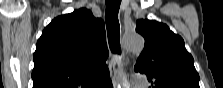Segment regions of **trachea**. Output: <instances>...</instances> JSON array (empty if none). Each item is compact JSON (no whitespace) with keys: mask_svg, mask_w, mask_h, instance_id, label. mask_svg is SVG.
I'll return each instance as SVG.
<instances>
[{"mask_svg":"<svg viewBox=\"0 0 223 88\" xmlns=\"http://www.w3.org/2000/svg\"><path fill=\"white\" fill-rule=\"evenodd\" d=\"M121 0H106V27L108 43L112 53L121 54L120 49V25L118 11Z\"/></svg>","mask_w":223,"mask_h":88,"instance_id":"3493384b","label":"trachea"}]
</instances>
